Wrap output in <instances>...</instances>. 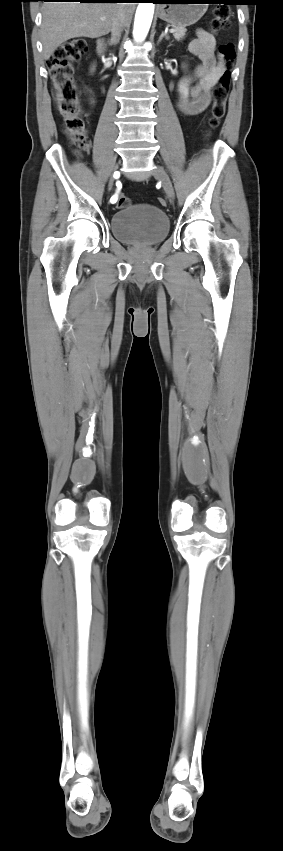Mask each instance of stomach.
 Masks as SVG:
<instances>
[{
    "label": "stomach",
    "mask_w": 283,
    "mask_h": 851,
    "mask_svg": "<svg viewBox=\"0 0 283 851\" xmlns=\"http://www.w3.org/2000/svg\"><path fill=\"white\" fill-rule=\"evenodd\" d=\"M208 0H163L158 5L160 19L174 26L186 27L196 23L206 12Z\"/></svg>",
    "instance_id": "0dacf381"
}]
</instances>
